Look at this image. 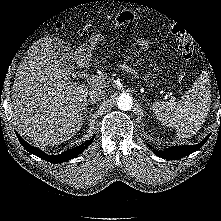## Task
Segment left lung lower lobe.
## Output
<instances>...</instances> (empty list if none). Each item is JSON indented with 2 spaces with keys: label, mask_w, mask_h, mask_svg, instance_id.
<instances>
[{
  "label": "left lung lower lobe",
  "mask_w": 221,
  "mask_h": 221,
  "mask_svg": "<svg viewBox=\"0 0 221 221\" xmlns=\"http://www.w3.org/2000/svg\"><path fill=\"white\" fill-rule=\"evenodd\" d=\"M210 135H208L202 142L196 145H187V146H173L169 147L164 150H157L148 145L151 149H153V152L163 158V159H169V160H177L180 158H183L185 156L190 155L191 153L199 150L205 142L208 140Z\"/></svg>",
  "instance_id": "left-lung-lower-lobe-1"
}]
</instances>
